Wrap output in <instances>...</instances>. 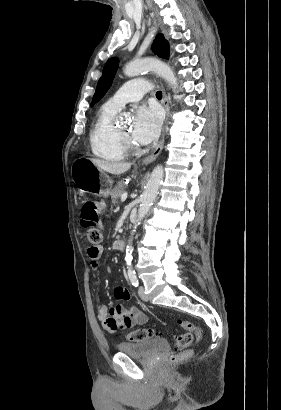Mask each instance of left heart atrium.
Returning <instances> with one entry per match:
<instances>
[{
	"mask_svg": "<svg viewBox=\"0 0 281 410\" xmlns=\"http://www.w3.org/2000/svg\"><path fill=\"white\" fill-rule=\"evenodd\" d=\"M162 117L155 107H140L135 112L133 121V140L141 145L153 142L159 135Z\"/></svg>",
	"mask_w": 281,
	"mask_h": 410,
	"instance_id": "obj_1",
	"label": "left heart atrium"
}]
</instances>
